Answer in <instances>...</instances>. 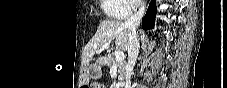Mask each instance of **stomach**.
<instances>
[{
    "label": "stomach",
    "mask_w": 227,
    "mask_h": 88,
    "mask_svg": "<svg viewBox=\"0 0 227 88\" xmlns=\"http://www.w3.org/2000/svg\"><path fill=\"white\" fill-rule=\"evenodd\" d=\"M104 60L100 58L95 64L88 65L85 69L86 73H89L91 77L99 73L100 65H103Z\"/></svg>",
    "instance_id": "0dacf381"
}]
</instances>
